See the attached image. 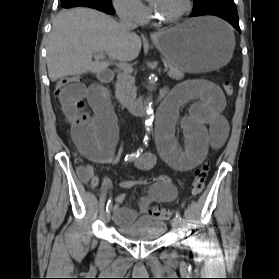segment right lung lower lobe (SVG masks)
<instances>
[{
	"instance_id": "98d812e1",
	"label": "right lung lower lobe",
	"mask_w": 279,
	"mask_h": 279,
	"mask_svg": "<svg viewBox=\"0 0 279 279\" xmlns=\"http://www.w3.org/2000/svg\"><path fill=\"white\" fill-rule=\"evenodd\" d=\"M61 6L64 8L85 6L101 10L107 14H113L115 12L112 5H106L100 0H61Z\"/></svg>"
}]
</instances>
